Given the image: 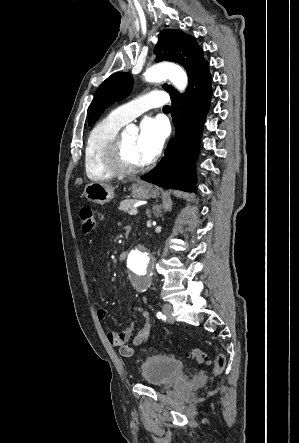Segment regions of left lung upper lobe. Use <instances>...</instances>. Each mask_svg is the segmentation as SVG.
<instances>
[{"label":"left lung upper lobe","instance_id":"obj_1","mask_svg":"<svg viewBox=\"0 0 299 443\" xmlns=\"http://www.w3.org/2000/svg\"><path fill=\"white\" fill-rule=\"evenodd\" d=\"M156 61H173L182 65L188 74V80L207 62L194 37L176 29L163 30L155 46ZM163 88L170 96L178 92L172 86ZM132 89V77L129 73L118 72L108 77L97 89L90 105L88 124L92 125L111 104L125 98Z\"/></svg>","mask_w":299,"mask_h":443}]
</instances>
